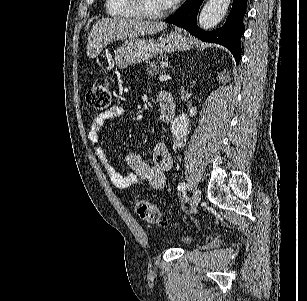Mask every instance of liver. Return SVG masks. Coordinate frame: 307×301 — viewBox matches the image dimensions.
Returning a JSON list of instances; mask_svg holds the SVG:
<instances>
[{"mask_svg":"<svg viewBox=\"0 0 307 301\" xmlns=\"http://www.w3.org/2000/svg\"><path fill=\"white\" fill-rule=\"evenodd\" d=\"M167 28L166 22L155 20H138V18H100L93 24L87 42V56L96 58L101 50L113 42L124 38H137L144 34H156Z\"/></svg>","mask_w":307,"mask_h":301,"instance_id":"1","label":"liver"}]
</instances>
